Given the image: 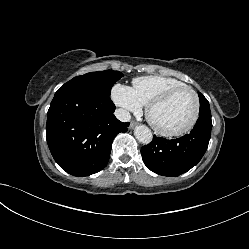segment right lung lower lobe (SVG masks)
<instances>
[{"mask_svg":"<svg viewBox=\"0 0 249 249\" xmlns=\"http://www.w3.org/2000/svg\"><path fill=\"white\" fill-rule=\"evenodd\" d=\"M109 95L96 88L65 83L47 113V143L54 160L67 173L88 176L108 163L113 139L129 123L113 114Z\"/></svg>","mask_w":249,"mask_h":249,"instance_id":"1","label":"right lung lower lobe"}]
</instances>
